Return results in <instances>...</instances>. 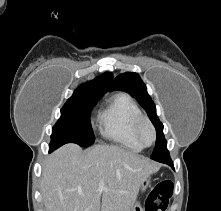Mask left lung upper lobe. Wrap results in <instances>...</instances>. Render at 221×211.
Wrapping results in <instances>:
<instances>
[{
  "instance_id": "obj_1",
  "label": "left lung upper lobe",
  "mask_w": 221,
  "mask_h": 211,
  "mask_svg": "<svg viewBox=\"0 0 221 211\" xmlns=\"http://www.w3.org/2000/svg\"><path fill=\"white\" fill-rule=\"evenodd\" d=\"M112 90H123L136 98L155 126L157 138L151 159L161 162L163 159L170 158L167 150V141L163 134V124L156 114L155 104L147 93L146 85L143 83L140 76L137 73H123L115 78L112 84Z\"/></svg>"
}]
</instances>
